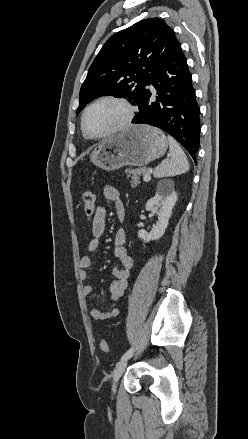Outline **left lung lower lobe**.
<instances>
[{
    "instance_id": "0a47b994",
    "label": "left lung lower lobe",
    "mask_w": 248,
    "mask_h": 439,
    "mask_svg": "<svg viewBox=\"0 0 248 439\" xmlns=\"http://www.w3.org/2000/svg\"><path fill=\"white\" fill-rule=\"evenodd\" d=\"M150 86L154 87L155 93ZM199 115L192 77L177 42L151 77L139 113L132 123L149 124L166 131L184 146L195 161L199 148Z\"/></svg>"
}]
</instances>
